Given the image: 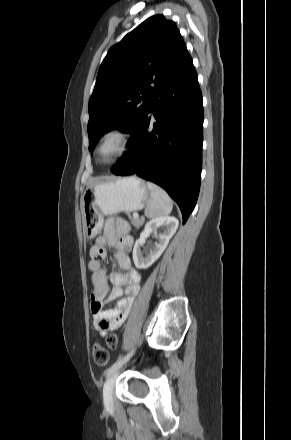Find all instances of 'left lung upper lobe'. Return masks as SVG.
<instances>
[{
  "instance_id": "1",
  "label": "left lung upper lobe",
  "mask_w": 291,
  "mask_h": 440,
  "mask_svg": "<svg viewBox=\"0 0 291 440\" xmlns=\"http://www.w3.org/2000/svg\"><path fill=\"white\" fill-rule=\"evenodd\" d=\"M186 53L175 23L163 15L146 19L109 49L88 104L90 151L110 130L134 136L152 96Z\"/></svg>"
}]
</instances>
